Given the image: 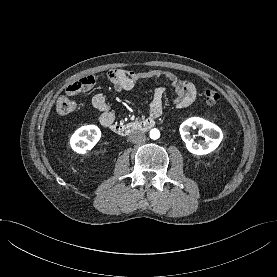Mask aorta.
<instances>
[{
	"label": "aorta",
	"mask_w": 277,
	"mask_h": 277,
	"mask_svg": "<svg viewBox=\"0 0 277 277\" xmlns=\"http://www.w3.org/2000/svg\"><path fill=\"white\" fill-rule=\"evenodd\" d=\"M160 137V131L158 129H152L150 131V138L155 140L158 139Z\"/></svg>",
	"instance_id": "762f6f07"
}]
</instances>
